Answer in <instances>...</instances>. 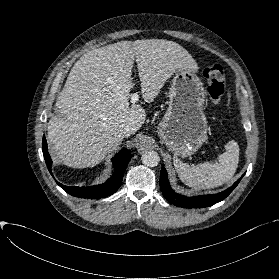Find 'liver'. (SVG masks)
Segmentation results:
<instances>
[{
	"label": "liver",
	"mask_w": 279,
	"mask_h": 279,
	"mask_svg": "<svg viewBox=\"0 0 279 279\" xmlns=\"http://www.w3.org/2000/svg\"><path fill=\"white\" fill-rule=\"evenodd\" d=\"M134 60L148 103L176 71L198 70L186 49L163 39L121 41L84 54L57 97L60 116L52 117L47 127L52 150L65 165L99 164L122 143L125 127L133 134L143 125L145 110L129 103Z\"/></svg>",
	"instance_id": "liver-1"
}]
</instances>
